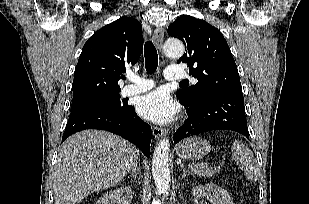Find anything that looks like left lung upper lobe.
Segmentation results:
<instances>
[{
  "label": "left lung upper lobe",
  "mask_w": 309,
  "mask_h": 204,
  "mask_svg": "<svg viewBox=\"0 0 309 204\" xmlns=\"http://www.w3.org/2000/svg\"><path fill=\"white\" fill-rule=\"evenodd\" d=\"M167 31L186 45V53L177 62L187 63L189 72L198 80L195 85L177 91L180 101L193 104L216 94H242L237 66L217 28L204 20L183 15Z\"/></svg>",
  "instance_id": "1"
}]
</instances>
